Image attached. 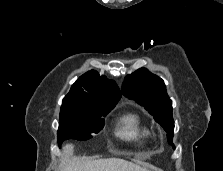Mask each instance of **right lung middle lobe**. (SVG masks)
Here are the masks:
<instances>
[{
  "label": "right lung middle lobe",
  "mask_w": 223,
  "mask_h": 171,
  "mask_svg": "<svg viewBox=\"0 0 223 171\" xmlns=\"http://www.w3.org/2000/svg\"><path fill=\"white\" fill-rule=\"evenodd\" d=\"M114 106H62L57 132L58 144L64 140H88L102 130L105 117Z\"/></svg>",
  "instance_id": "right-lung-middle-lobe-1"
}]
</instances>
